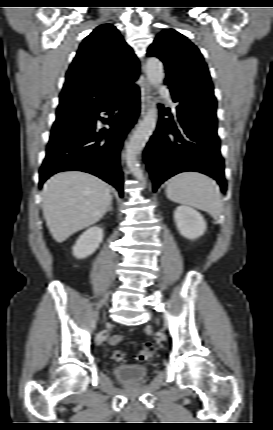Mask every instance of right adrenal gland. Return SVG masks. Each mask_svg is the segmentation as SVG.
<instances>
[{
    "label": "right adrenal gland",
    "mask_w": 273,
    "mask_h": 430,
    "mask_svg": "<svg viewBox=\"0 0 273 430\" xmlns=\"http://www.w3.org/2000/svg\"><path fill=\"white\" fill-rule=\"evenodd\" d=\"M108 210H109V211H112V210H113L112 204L109 206Z\"/></svg>",
    "instance_id": "2a0ac1e0"
}]
</instances>
